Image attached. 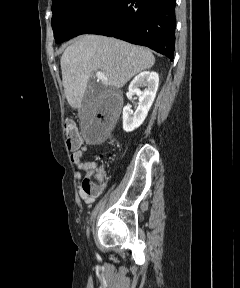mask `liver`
<instances>
[{
    "label": "liver",
    "mask_w": 240,
    "mask_h": 288,
    "mask_svg": "<svg viewBox=\"0 0 240 288\" xmlns=\"http://www.w3.org/2000/svg\"><path fill=\"white\" fill-rule=\"evenodd\" d=\"M65 95L71 107L81 110L94 72L104 73V86L122 88L132 77L155 64L151 51L125 41L99 35L75 39L61 57Z\"/></svg>",
    "instance_id": "obj_1"
}]
</instances>
